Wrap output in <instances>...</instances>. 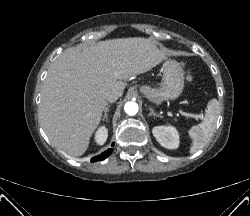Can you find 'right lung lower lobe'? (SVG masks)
<instances>
[{
    "mask_svg": "<svg viewBox=\"0 0 250 216\" xmlns=\"http://www.w3.org/2000/svg\"><path fill=\"white\" fill-rule=\"evenodd\" d=\"M112 150H113L112 148L108 149L107 151L103 152L102 154L92 158L91 161H102V160H104L105 158H107L111 154Z\"/></svg>",
    "mask_w": 250,
    "mask_h": 216,
    "instance_id": "right-lung-lower-lobe-1",
    "label": "right lung lower lobe"
}]
</instances>
